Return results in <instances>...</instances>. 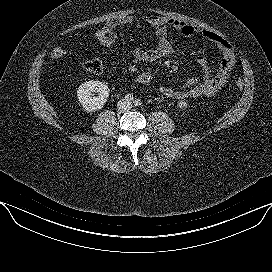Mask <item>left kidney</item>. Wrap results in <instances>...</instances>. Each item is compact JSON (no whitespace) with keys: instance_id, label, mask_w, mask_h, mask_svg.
Instances as JSON below:
<instances>
[{"instance_id":"obj_1","label":"left kidney","mask_w":272,"mask_h":272,"mask_svg":"<svg viewBox=\"0 0 272 272\" xmlns=\"http://www.w3.org/2000/svg\"><path fill=\"white\" fill-rule=\"evenodd\" d=\"M177 106H178V108L184 110L187 108L188 104L185 101H180V102H178Z\"/></svg>"}]
</instances>
